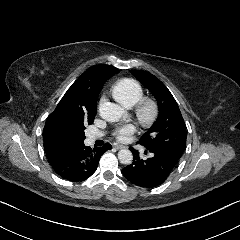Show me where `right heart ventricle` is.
Masks as SVG:
<instances>
[{
    "label": "right heart ventricle",
    "instance_id": "right-heart-ventricle-1",
    "mask_svg": "<svg viewBox=\"0 0 240 240\" xmlns=\"http://www.w3.org/2000/svg\"><path fill=\"white\" fill-rule=\"evenodd\" d=\"M112 96L125 108H132L143 96L142 86L135 80L117 82L111 89Z\"/></svg>",
    "mask_w": 240,
    "mask_h": 240
}]
</instances>
